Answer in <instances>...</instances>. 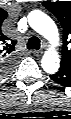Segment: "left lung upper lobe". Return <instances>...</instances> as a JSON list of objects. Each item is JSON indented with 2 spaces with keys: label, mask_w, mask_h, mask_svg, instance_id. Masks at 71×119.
<instances>
[{
  "label": "left lung upper lobe",
  "mask_w": 71,
  "mask_h": 119,
  "mask_svg": "<svg viewBox=\"0 0 71 119\" xmlns=\"http://www.w3.org/2000/svg\"><path fill=\"white\" fill-rule=\"evenodd\" d=\"M43 6L54 14L63 27L61 66L71 68V1H44Z\"/></svg>",
  "instance_id": "left-lung-upper-lobe-1"
}]
</instances>
